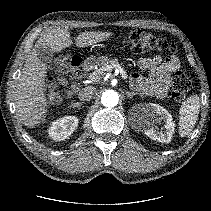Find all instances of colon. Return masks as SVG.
I'll return each instance as SVG.
<instances>
[{
	"instance_id": "obj_1",
	"label": "colon",
	"mask_w": 211,
	"mask_h": 211,
	"mask_svg": "<svg viewBox=\"0 0 211 211\" xmlns=\"http://www.w3.org/2000/svg\"><path fill=\"white\" fill-rule=\"evenodd\" d=\"M125 43L136 53H175L177 50L175 43L168 42L165 39L144 30H136L132 32L128 37H126ZM54 66L58 70L68 71L73 76L75 70H78L81 66V59L76 56L71 58L63 57ZM49 80L52 81V78ZM191 86V81L184 72L180 70L175 71L172 77V98L177 101L183 100L189 93ZM50 88L55 97H61L59 90L56 88L54 83L51 82Z\"/></svg>"
}]
</instances>
